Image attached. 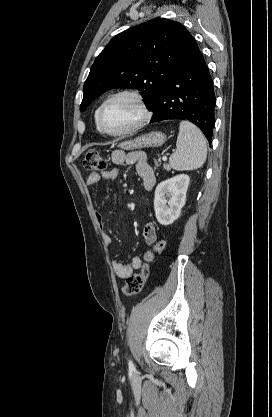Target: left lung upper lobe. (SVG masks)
<instances>
[{
  "label": "left lung upper lobe",
  "instance_id": "left-lung-upper-lobe-1",
  "mask_svg": "<svg viewBox=\"0 0 272 417\" xmlns=\"http://www.w3.org/2000/svg\"><path fill=\"white\" fill-rule=\"evenodd\" d=\"M198 50L187 29L168 19L155 18L123 31L95 59L80 110L106 90L119 87L142 91L146 107L153 110L166 83Z\"/></svg>",
  "mask_w": 272,
  "mask_h": 417
}]
</instances>
